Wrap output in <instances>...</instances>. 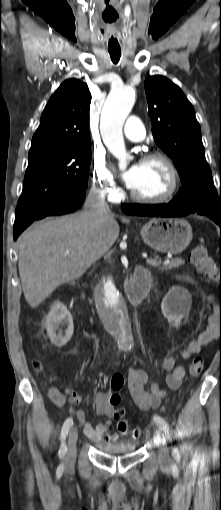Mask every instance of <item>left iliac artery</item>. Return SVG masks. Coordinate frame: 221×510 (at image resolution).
<instances>
[{
    "label": "left iliac artery",
    "instance_id": "1",
    "mask_svg": "<svg viewBox=\"0 0 221 510\" xmlns=\"http://www.w3.org/2000/svg\"><path fill=\"white\" fill-rule=\"evenodd\" d=\"M153 420L161 428V430H163L165 435L169 436L170 429H169L168 423L162 417H160L158 415H154ZM175 451L177 452V449H175Z\"/></svg>",
    "mask_w": 221,
    "mask_h": 510
}]
</instances>
